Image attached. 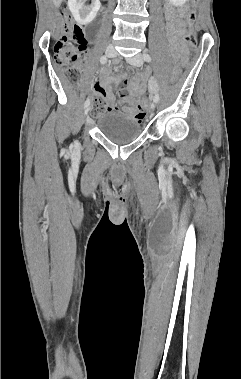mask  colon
I'll list each match as a JSON object with an SVG mask.
<instances>
[{
    "label": "colon",
    "mask_w": 241,
    "mask_h": 379,
    "mask_svg": "<svg viewBox=\"0 0 241 379\" xmlns=\"http://www.w3.org/2000/svg\"><path fill=\"white\" fill-rule=\"evenodd\" d=\"M196 8H191L185 11L184 16L187 21L194 20L197 14ZM60 13L64 18L63 33L55 45V63L64 73L65 77L72 82H76L79 76V65L81 62V55L86 49V39L84 31L81 26L73 23L71 17L64 7L60 8ZM183 39L185 43L194 50L196 48V35L192 31L184 34ZM179 77L178 71H173L168 75V80L174 82ZM121 95H125V91H120ZM142 103H148L149 97L147 92L139 94ZM112 109L110 102L101 95L93 97L92 110L94 115H98L105 111Z\"/></svg>",
    "instance_id": "obj_1"
}]
</instances>
